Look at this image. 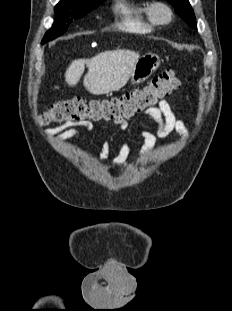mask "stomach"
Wrapping results in <instances>:
<instances>
[{"label": "stomach", "mask_w": 232, "mask_h": 311, "mask_svg": "<svg viewBox=\"0 0 232 311\" xmlns=\"http://www.w3.org/2000/svg\"><path fill=\"white\" fill-rule=\"evenodd\" d=\"M160 58L154 53H146L140 57L130 74V81L132 84H139L147 80L155 70L160 66Z\"/></svg>", "instance_id": "obj_1"}]
</instances>
